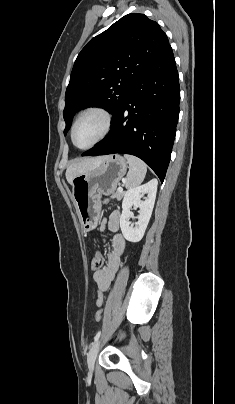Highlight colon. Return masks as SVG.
Segmentation results:
<instances>
[{
	"instance_id": "colon-1",
	"label": "colon",
	"mask_w": 235,
	"mask_h": 404,
	"mask_svg": "<svg viewBox=\"0 0 235 404\" xmlns=\"http://www.w3.org/2000/svg\"><path fill=\"white\" fill-rule=\"evenodd\" d=\"M103 264H104V257L100 251H97L92 257L91 268L97 271L103 267ZM102 317H103V311L101 309L97 310L94 315L95 321L100 322Z\"/></svg>"
}]
</instances>
